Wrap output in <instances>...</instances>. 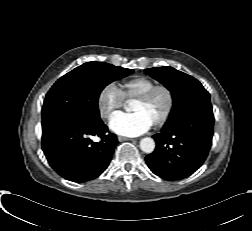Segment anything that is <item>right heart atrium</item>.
Returning <instances> with one entry per match:
<instances>
[{"instance_id":"obj_1","label":"right heart atrium","mask_w":252,"mask_h":231,"mask_svg":"<svg viewBox=\"0 0 252 231\" xmlns=\"http://www.w3.org/2000/svg\"><path fill=\"white\" fill-rule=\"evenodd\" d=\"M123 105V96L117 85L113 82L106 84L98 93L97 108L100 116L108 119Z\"/></svg>"}]
</instances>
